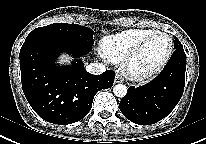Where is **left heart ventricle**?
I'll list each match as a JSON object with an SVG mask.
<instances>
[{"label": "left heart ventricle", "instance_id": "1", "mask_svg": "<svg viewBox=\"0 0 206 144\" xmlns=\"http://www.w3.org/2000/svg\"><path fill=\"white\" fill-rule=\"evenodd\" d=\"M169 50V40L165 36H156L145 47L135 61V68L148 70L156 66L166 56Z\"/></svg>", "mask_w": 206, "mask_h": 144}]
</instances>
